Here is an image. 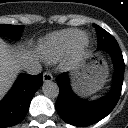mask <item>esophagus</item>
Instances as JSON below:
<instances>
[{
	"instance_id": "obj_1",
	"label": "esophagus",
	"mask_w": 128,
	"mask_h": 128,
	"mask_svg": "<svg viewBox=\"0 0 128 128\" xmlns=\"http://www.w3.org/2000/svg\"><path fill=\"white\" fill-rule=\"evenodd\" d=\"M43 79L44 82H51L53 80V77L50 73H44Z\"/></svg>"
}]
</instances>
